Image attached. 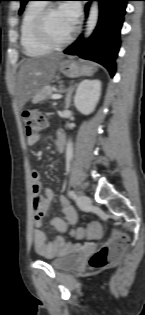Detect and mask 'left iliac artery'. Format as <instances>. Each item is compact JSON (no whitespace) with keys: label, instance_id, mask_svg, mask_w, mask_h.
Returning <instances> with one entry per match:
<instances>
[{"label":"left iliac artery","instance_id":"left-iliac-artery-1","mask_svg":"<svg viewBox=\"0 0 145 315\" xmlns=\"http://www.w3.org/2000/svg\"><path fill=\"white\" fill-rule=\"evenodd\" d=\"M68 195H69V197H71V198H75V197H76V193H75V191H73V190H70V191L68 192Z\"/></svg>","mask_w":145,"mask_h":315}]
</instances>
